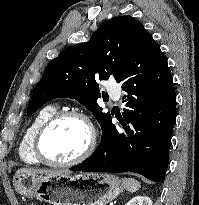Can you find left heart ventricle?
Wrapping results in <instances>:
<instances>
[{
	"label": "left heart ventricle",
	"instance_id": "left-heart-ventricle-1",
	"mask_svg": "<svg viewBox=\"0 0 199 205\" xmlns=\"http://www.w3.org/2000/svg\"><path fill=\"white\" fill-rule=\"evenodd\" d=\"M88 141V130L77 118H65L54 124L42 139V150L48 159L67 161L79 155Z\"/></svg>",
	"mask_w": 199,
	"mask_h": 205
}]
</instances>
